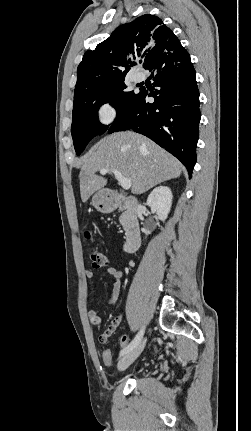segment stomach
I'll list each match as a JSON object with an SVG mask.
<instances>
[{"label":"stomach","instance_id":"1","mask_svg":"<svg viewBox=\"0 0 251 431\" xmlns=\"http://www.w3.org/2000/svg\"><path fill=\"white\" fill-rule=\"evenodd\" d=\"M91 203L101 213H110L116 208L115 199L107 190L96 192Z\"/></svg>","mask_w":251,"mask_h":431}]
</instances>
